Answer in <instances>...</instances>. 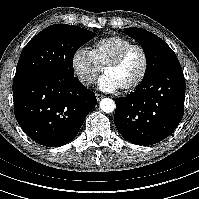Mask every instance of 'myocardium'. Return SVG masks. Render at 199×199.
<instances>
[{"label": "myocardium", "instance_id": "myocardium-1", "mask_svg": "<svg viewBox=\"0 0 199 199\" xmlns=\"http://www.w3.org/2000/svg\"><path fill=\"white\" fill-rule=\"evenodd\" d=\"M135 48L139 49L143 55V68L139 76L132 83L121 88L123 92H131L135 90L145 80L149 69V55L146 48L139 43H132L121 49L102 69V72L104 73L107 69L117 67L127 55V53Z\"/></svg>", "mask_w": 199, "mask_h": 199}]
</instances>
